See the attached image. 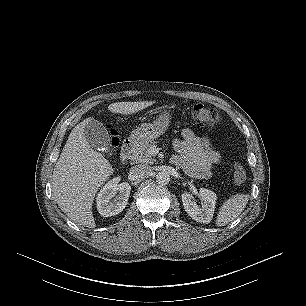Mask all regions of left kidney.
Instances as JSON below:
<instances>
[{"instance_id":"5707ae66","label":"left kidney","mask_w":306,"mask_h":306,"mask_svg":"<svg viewBox=\"0 0 306 306\" xmlns=\"http://www.w3.org/2000/svg\"><path fill=\"white\" fill-rule=\"evenodd\" d=\"M199 197L201 199V206L195 203L193 200L194 197L190 193L185 192L181 195L187 214L197 222L208 224L214 214L217 196L211 190L200 188Z\"/></svg>"}]
</instances>
